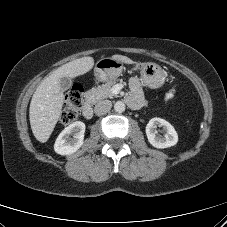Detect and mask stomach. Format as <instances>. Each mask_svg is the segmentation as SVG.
I'll return each mask as SVG.
<instances>
[{"instance_id":"obj_1","label":"stomach","mask_w":227,"mask_h":227,"mask_svg":"<svg viewBox=\"0 0 227 227\" xmlns=\"http://www.w3.org/2000/svg\"><path fill=\"white\" fill-rule=\"evenodd\" d=\"M140 71L144 84L156 89L164 83V73L155 63H135ZM123 71V63L113 57L101 58L95 65L94 72L97 80L108 81L116 79Z\"/></svg>"}]
</instances>
